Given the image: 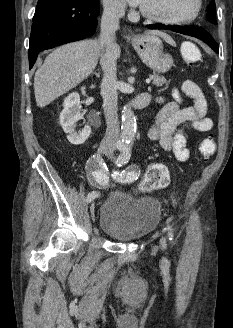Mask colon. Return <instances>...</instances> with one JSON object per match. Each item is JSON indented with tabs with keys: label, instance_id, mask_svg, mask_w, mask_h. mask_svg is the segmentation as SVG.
Listing matches in <instances>:
<instances>
[{
	"label": "colon",
	"instance_id": "obj_1",
	"mask_svg": "<svg viewBox=\"0 0 233 328\" xmlns=\"http://www.w3.org/2000/svg\"><path fill=\"white\" fill-rule=\"evenodd\" d=\"M183 57L189 62L200 60L201 55L198 48L192 43H186L182 47ZM199 152L203 160L207 161L215 152V143L211 138L205 139L199 146ZM170 175L167 167L160 163L151 164L144 173L138 190L140 192H151L164 188L168 185Z\"/></svg>",
	"mask_w": 233,
	"mask_h": 328
}]
</instances>
